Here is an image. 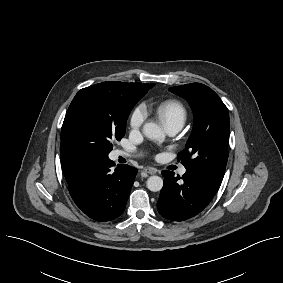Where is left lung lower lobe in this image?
Segmentation results:
<instances>
[{
	"label": "left lung lower lobe",
	"mask_w": 283,
	"mask_h": 283,
	"mask_svg": "<svg viewBox=\"0 0 283 283\" xmlns=\"http://www.w3.org/2000/svg\"><path fill=\"white\" fill-rule=\"evenodd\" d=\"M162 175L164 185L157 209L164 218L172 221H183L200 213L219 189L187 170L182 177L166 170Z\"/></svg>",
	"instance_id": "1"
}]
</instances>
